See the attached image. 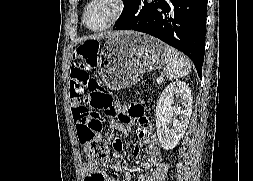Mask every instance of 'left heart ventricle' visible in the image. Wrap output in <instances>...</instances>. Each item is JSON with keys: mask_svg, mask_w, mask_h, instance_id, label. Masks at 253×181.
Segmentation results:
<instances>
[{"mask_svg": "<svg viewBox=\"0 0 253 181\" xmlns=\"http://www.w3.org/2000/svg\"><path fill=\"white\" fill-rule=\"evenodd\" d=\"M114 10L112 0H98L88 10L86 23L89 27L98 28L104 25Z\"/></svg>", "mask_w": 253, "mask_h": 181, "instance_id": "left-heart-ventricle-1", "label": "left heart ventricle"}]
</instances>
